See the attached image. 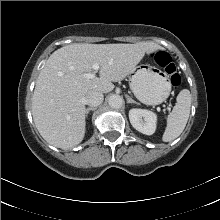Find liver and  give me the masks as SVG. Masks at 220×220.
<instances>
[{
  "label": "liver",
  "mask_w": 220,
  "mask_h": 220,
  "mask_svg": "<svg viewBox=\"0 0 220 220\" xmlns=\"http://www.w3.org/2000/svg\"><path fill=\"white\" fill-rule=\"evenodd\" d=\"M162 49L153 42L136 44L75 43L53 52L41 70L32 97L33 120L51 145L70 149L81 143L86 130L85 95L108 93L112 82L130 75L145 54ZM99 65L100 77L84 78Z\"/></svg>",
  "instance_id": "obj_1"
}]
</instances>
